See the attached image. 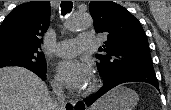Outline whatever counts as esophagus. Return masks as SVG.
<instances>
[{"label": "esophagus", "mask_w": 171, "mask_h": 110, "mask_svg": "<svg viewBox=\"0 0 171 110\" xmlns=\"http://www.w3.org/2000/svg\"><path fill=\"white\" fill-rule=\"evenodd\" d=\"M76 102L74 101H67L65 103V109L66 110H75Z\"/></svg>", "instance_id": "1"}]
</instances>
